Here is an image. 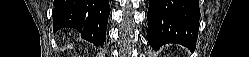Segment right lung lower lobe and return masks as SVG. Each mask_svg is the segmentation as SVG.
I'll list each match as a JSON object with an SVG mask.
<instances>
[{
    "label": "right lung lower lobe",
    "instance_id": "obj_1",
    "mask_svg": "<svg viewBox=\"0 0 249 57\" xmlns=\"http://www.w3.org/2000/svg\"><path fill=\"white\" fill-rule=\"evenodd\" d=\"M54 4V31L72 27L87 41L104 44L110 14L108 0H55Z\"/></svg>",
    "mask_w": 249,
    "mask_h": 57
}]
</instances>
